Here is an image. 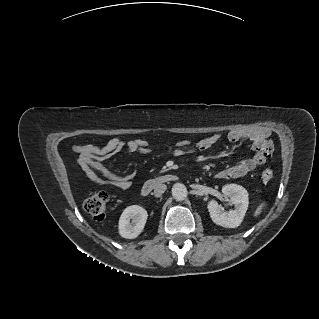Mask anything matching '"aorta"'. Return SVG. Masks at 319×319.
<instances>
[{"mask_svg":"<svg viewBox=\"0 0 319 319\" xmlns=\"http://www.w3.org/2000/svg\"><path fill=\"white\" fill-rule=\"evenodd\" d=\"M188 195L187 188L182 183H176L172 187V196L177 201H183Z\"/></svg>","mask_w":319,"mask_h":319,"instance_id":"1","label":"aorta"}]
</instances>
